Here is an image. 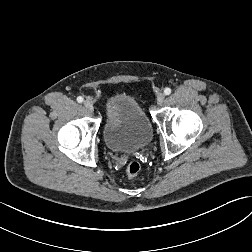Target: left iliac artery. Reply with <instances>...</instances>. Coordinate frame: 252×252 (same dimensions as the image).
Returning <instances> with one entry per match:
<instances>
[{
	"instance_id": "obj_1",
	"label": "left iliac artery",
	"mask_w": 252,
	"mask_h": 252,
	"mask_svg": "<svg viewBox=\"0 0 252 252\" xmlns=\"http://www.w3.org/2000/svg\"><path fill=\"white\" fill-rule=\"evenodd\" d=\"M164 93H165V95H169L171 93V89L165 88Z\"/></svg>"
}]
</instances>
